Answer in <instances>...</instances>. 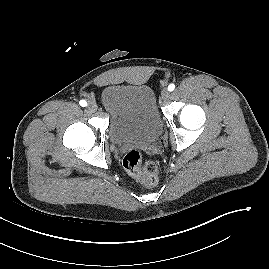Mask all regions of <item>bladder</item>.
Segmentation results:
<instances>
[{"instance_id":"1","label":"bladder","mask_w":269,"mask_h":269,"mask_svg":"<svg viewBox=\"0 0 269 269\" xmlns=\"http://www.w3.org/2000/svg\"><path fill=\"white\" fill-rule=\"evenodd\" d=\"M110 117L109 136L113 143L147 146L162 132V120L152 89L144 84H111L101 93Z\"/></svg>"}]
</instances>
